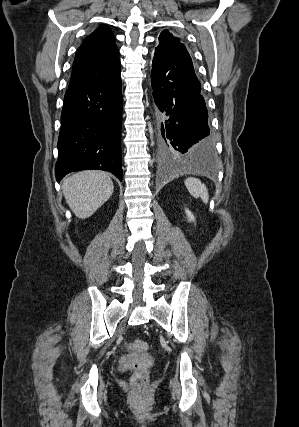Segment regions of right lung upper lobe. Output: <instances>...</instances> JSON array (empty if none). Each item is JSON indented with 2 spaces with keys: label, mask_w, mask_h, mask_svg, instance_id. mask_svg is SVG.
<instances>
[{
  "label": "right lung upper lobe",
  "mask_w": 299,
  "mask_h": 427,
  "mask_svg": "<svg viewBox=\"0 0 299 427\" xmlns=\"http://www.w3.org/2000/svg\"><path fill=\"white\" fill-rule=\"evenodd\" d=\"M115 36L104 25L87 36L76 52L69 88L105 80L120 70Z\"/></svg>",
  "instance_id": "obj_1"
}]
</instances>
